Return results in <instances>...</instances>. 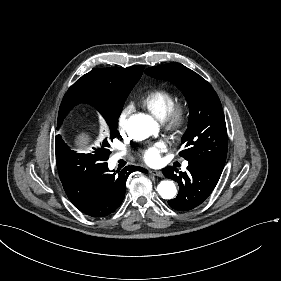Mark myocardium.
Wrapping results in <instances>:
<instances>
[{
    "mask_svg": "<svg viewBox=\"0 0 281 281\" xmlns=\"http://www.w3.org/2000/svg\"><path fill=\"white\" fill-rule=\"evenodd\" d=\"M188 119L187 109L182 103H175L164 118V125L171 132H178L182 129Z\"/></svg>",
    "mask_w": 281,
    "mask_h": 281,
    "instance_id": "myocardium-1",
    "label": "myocardium"
}]
</instances>
